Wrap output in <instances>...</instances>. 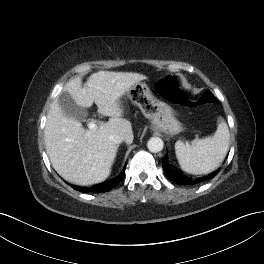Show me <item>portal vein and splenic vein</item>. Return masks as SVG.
I'll list each match as a JSON object with an SVG mask.
<instances>
[{"mask_svg":"<svg viewBox=\"0 0 264 264\" xmlns=\"http://www.w3.org/2000/svg\"><path fill=\"white\" fill-rule=\"evenodd\" d=\"M96 127H97V125H96V122H95L94 120H91V121L88 123V128H89L90 130H95Z\"/></svg>","mask_w":264,"mask_h":264,"instance_id":"1","label":"portal vein and splenic vein"}]
</instances>
